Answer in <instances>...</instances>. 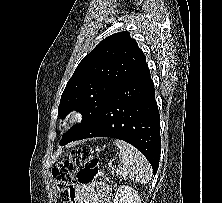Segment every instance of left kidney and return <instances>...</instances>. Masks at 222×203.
<instances>
[{
    "label": "left kidney",
    "instance_id": "left-kidney-1",
    "mask_svg": "<svg viewBox=\"0 0 222 203\" xmlns=\"http://www.w3.org/2000/svg\"><path fill=\"white\" fill-rule=\"evenodd\" d=\"M114 203H141L137 191L128 185H122L118 188Z\"/></svg>",
    "mask_w": 222,
    "mask_h": 203
}]
</instances>
